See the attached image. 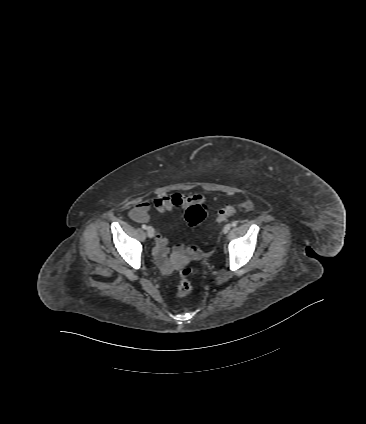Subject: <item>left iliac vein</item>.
Returning a JSON list of instances; mask_svg holds the SVG:
<instances>
[{"label": "left iliac vein", "mask_w": 366, "mask_h": 424, "mask_svg": "<svg viewBox=\"0 0 366 424\" xmlns=\"http://www.w3.org/2000/svg\"><path fill=\"white\" fill-rule=\"evenodd\" d=\"M230 229H231V225H230V224H226V225L224 226V228H223V232H224V233H228Z\"/></svg>", "instance_id": "4c4485c4"}]
</instances>
